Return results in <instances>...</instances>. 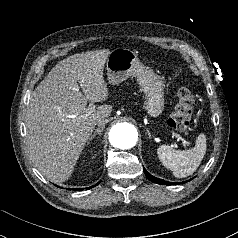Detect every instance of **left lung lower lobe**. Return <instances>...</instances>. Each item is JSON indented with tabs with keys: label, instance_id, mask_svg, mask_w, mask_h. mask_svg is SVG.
<instances>
[{
	"label": "left lung lower lobe",
	"instance_id": "left-lung-lower-lobe-1",
	"mask_svg": "<svg viewBox=\"0 0 238 238\" xmlns=\"http://www.w3.org/2000/svg\"><path fill=\"white\" fill-rule=\"evenodd\" d=\"M144 173H145L146 177H147L149 180H151L152 182L157 183V184H163V185H177V184H183V183H186V182H188V181L191 180V179H190V180H188V181L175 183V182H169V181H165V180L159 179V178H157V177H154V176H152L151 174H149L145 169H144Z\"/></svg>",
	"mask_w": 238,
	"mask_h": 238
}]
</instances>
